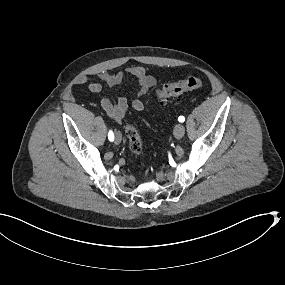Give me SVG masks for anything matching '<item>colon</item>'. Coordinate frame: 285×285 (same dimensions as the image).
<instances>
[{
	"label": "colon",
	"mask_w": 285,
	"mask_h": 285,
	"mask_svg": "<svg viewBox=\"0 0 285 285\" xmlns=\"http://www.w3.org/2000/svg\"><path fill=\"white\" fill-rule=\"evenodd\" d=\"M202 86V79L198 77H188L177 82L164 84L156 90L155 94L158 101L163 102L170 98H177L187 91L199 89ZM126 134L131 152L135 155L142 154L144 147L137 129L133 125L127 124Z\"/></svg>",
	"instance_id": "1"
}]
</instances>
